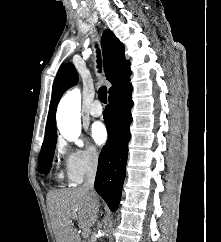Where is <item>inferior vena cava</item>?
<instances>
[{"label": "inferior vena cava", "instance_id": "inferior-vena-cava-1", "mask_svg": "<svg viewBox=\"0 0 221 242\" xmlns=\"http://www.w3.org/2000/svg\"><path fill=\"white\" fill-rule=\"evenodd\" d=\"M96 171H97V162L96 160H94L90 163V165L86 169L85 182L81 187L82 190L89 193L91 196L96 195L94 192V181H95Z\"/></svg>", "mask_w": 221, "mask_h": 242}]
</instances>
